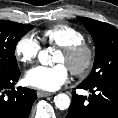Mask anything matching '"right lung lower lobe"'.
Returning <instances> with one entry per match:
<instances>
[{
    "mask_svg": "<svg viewBox=\"0 0 118 118\" xmlns=\"http://www.w3.org/2000/svg\"><path fill=\"white\" fill-rule=\"evenodd\" d=\"M19 76L20 71L0 76V118H28L31 112L37 95L34 90L25 87L14 89Z\"/></svg>",
    "mask_w": 118,
    "mask_h": 118,
    "instance_id": "1",
    "label": "right lung lower lobe"
}]
</instances>
